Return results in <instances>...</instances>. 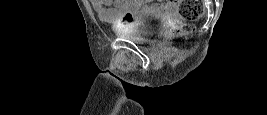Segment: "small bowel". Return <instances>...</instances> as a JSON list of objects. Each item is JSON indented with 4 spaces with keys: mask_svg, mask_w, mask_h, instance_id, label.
I'll return each instance as SVG.
<instances>
[{
    "mask_svg": "<svg viewBox=\"0 0 267 115\" xmlns=\"http://www.w3.org/2000/svg\"><path fill=\"white\" fill-rule=\"evenodd\" d=\"M90 3L99 16L112 19H118L127 9L132 11L135 18L147 13L168 15L178 10L175 3L150 0H91Z\"/></svg>",
    "mask_w": 267,
    "mask_h": 115,
    "instance_id": "small-bowel-1",
    "label": "small bowel"
}]
</instances>
